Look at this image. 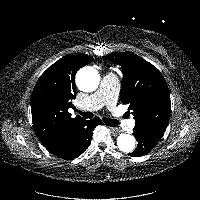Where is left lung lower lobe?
<instances>
[{
    "label": "left lung lower lobe",
    "instance_id": "0a47b994",
    "mask_svg": "<svg viewBox=\"0 0 200 200\" xmlns=\"http://www.w3.org/2000/svg\"><path fill=\"white\" fill-rule=\"evenodd\" d=\"M134 136L138 141L137 148L130 154L133 157H138L147 154L160 140L155 135L148 132L133 129Z\"/></svg>",
    "mask_w": 200,
    "mask_h": 200
}]
</instances>
